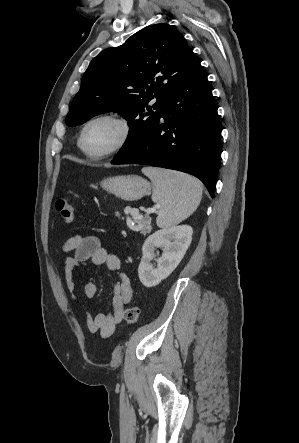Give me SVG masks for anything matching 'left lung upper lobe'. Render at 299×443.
Here are the masks:
<instances>
[{"instance_id":"obj_1","label":"left lung upper lobe","mask_w":299,"mask_h":443,"mask_svg":"<svg viewBox=\"0 0 299 443\" xmlns=\"http://www.w3.org/2000/svg\"><path fill=\"white\" fill-rule=\"evenodd\" d=\"M198 64L184 37L172 26H147L91 61L65 123L72 127L104 112H118L130 127L117 155L122 154L154 124L170 91Z\"/></svg>"}]
</instances>
